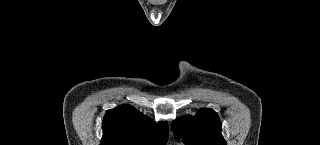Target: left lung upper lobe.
Listing matches in <instances>:
<instances>
[{"instance_id":"obj_1","label":"left lung upper lobe","mask_w":320,"mask_h":145,"mask_svg":"<svg viewBox=\"0 0 320 145\" xmlns=\"http://www.w3.org/2000/svg\"><path fill=\"white\" fill-rule=\"evenodd\" d=\"M175 135L186 145H226L216 112L200 109L195 116L181 117L172 123Z\"/></svg>"}]
</instances>
